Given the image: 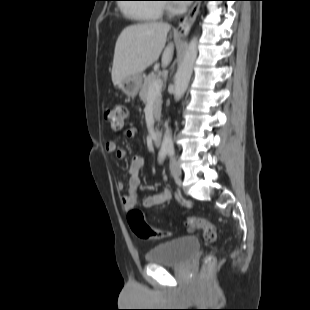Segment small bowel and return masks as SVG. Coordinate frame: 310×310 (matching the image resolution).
<instances>
[{
  "label": "small bowel",
  "mask_w": 310,
  "mask_h": 310,
  "mask_svg": "<svg viewBox=\"0 0 310 310\" xmlns=\"http://www.w3.org/2000/svg\"><path fill=\"white\" fill-rule=\"evenodd\" d=\"M122 134L128 139H133L138 134V128L135 126L128 127L122 132ZM106 151L114 154L118 159H123L125 157V150L113 141H109L106 144ZM144 164L145 160L141 155H134L130 160V177L127 183V192L123 193L121 196V202L126 211H129L136 206L138 186L140 182L139 172L143 168ZM116 187L119 191H122L125 188V183L123 181H119ZM171 197L172 194L169 190L148 195L143 200V206L145 208H152L155 206L164 205L171 200Z\"/></svg>",
  "instance_id": "1"
}]
</instances>
